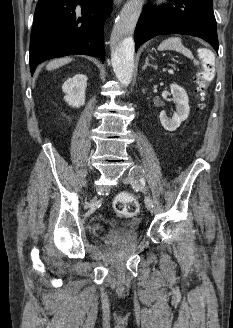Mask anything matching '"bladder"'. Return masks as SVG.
<instances>
[{"mask_svg": "<svg viewBox=\"0 0 233 328\" xmlns=\"http://www.w3.org/2000/svg\"><path fill=\"white\" fill-rule=\"evenodd\" d=\"M136 242H137L136 237H132V238H131V244H132V245H136Z\"/></svg>", "mask_w": 233, "mask_h": 328, "instance_id": "31cf9c89", "label": "bladder"}]
</instances>
